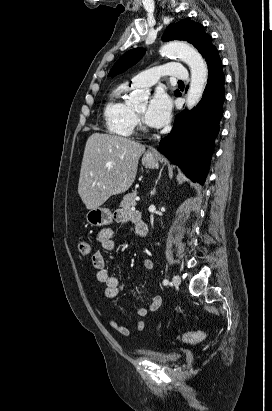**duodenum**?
<instances>
[{
  "label": "duodenum",
  "mask_w": 272,
  "mask_h": 411,
  "mask_svg": "<svg viewBox=\"0 0 272 411\" xmlns=\"http://www.w3.org/2000/svg\"><path fill=\"white\" fill-rule=\"evenodd\" d=\"M134 225H135V230L138 236L142 238L143 240H146L148 236V232H149L148 226L146 225V223L142 222L140 218H136Z\"/></svg>",
  "instance_id": "obj_1"
}]
</instances>
